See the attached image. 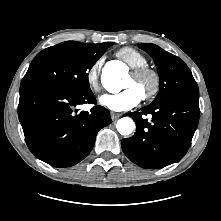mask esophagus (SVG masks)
<instances>
[{
    "instance_id": "obj_1",
    "label": "esophagus",
    "mask_w": 221,
    "mask_h": 221,
    "mask_svg": "<svg viewBox=\"0 0 221 221\" xmlns=\"http://www.w3.org/2000/svg\"><path fill=\"white\" fill-rule=\"evenodd\" d=\"M120 116H121L120 113L111 112V119H112L113 121L117 120Z\"/></svg>"
}]
</instances>
